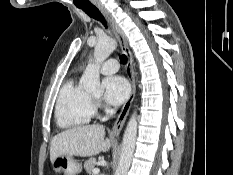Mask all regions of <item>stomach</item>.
<instances>
[{
    "label": "stomach",
    "mask_w": 233,
    "mask_h": 175,
    "mask_svg": "<svg viewBox=\"0 0 233 175\" xmlns=\"http://www.w3.org/2000/svg\"><path fill=\"white\" fill-rule=\"evenodd\" d=\"M52 167L55 172L63 173L64 175H77L81 172L82 165L71 156L61 155L55 158L52 162Z\"/></svg>",
    "instance_id": "0dacf381"
}]
</instances>
